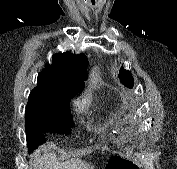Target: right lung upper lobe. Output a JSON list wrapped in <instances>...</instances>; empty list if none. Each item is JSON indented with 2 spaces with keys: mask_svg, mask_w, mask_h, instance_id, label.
<instances>
[{
  "mask_svg": "<svg viewBox=\"0 0 177 169\" xmlns=\"http://www.w3.org/2000/svg\"><path fill=\"white\" fill-rule=\"evenodd\" d=\"M87 62L88 59L84 54L73 55L70 52L55 54L52 64L46 65L39 73L38 85L31 91L28 104L71 100L87 78Z\"/></svg>",
  "mask_w": 177,
  "mask_h": 169,
  "instance_id": "right-lung-upper-lobe-1",
  "label": "right lung upper lobe"
}]
</instances>
